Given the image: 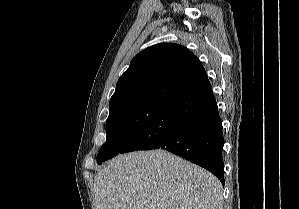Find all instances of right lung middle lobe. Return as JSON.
Here are the masks:
<instances>
[{
  "mask_svg": "<svg viewBox=\"0 0 299 209\" xmlns=\"http://www.w3.org/2000/svg\"><path fill=\"white\" fill-rule=\"evenodd\" d=\"M161 104L144 101L109 109L106 142L98 152V164L119 154L141 132Z\"/></svg>",
  "mask_w": 299,
  "mask_h": 209,
  "instance_id": "obj_1",
  "label": "right lung middle lobe"
}]
</instances>
